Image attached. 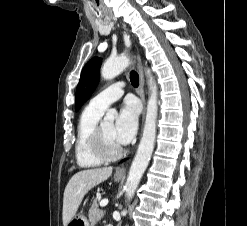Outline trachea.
<instances>
[{
  "label": "trachea",
  "mask_w": 247,
  "mask_h": 226,
  "mask_svg": "<svg viewBox=\"0 0 247 226\" xmlns=\"http://www.w3.org/2000/svg\"><path fill=\"white\" fill-rule=\"evenodd\" d=\"M130 81H131V84L134 86V87H138L139 85V75L136 71L132 70L130 72Z\"/></svg>",
  "instance_id": "trachea-1"
}]
</instances>
